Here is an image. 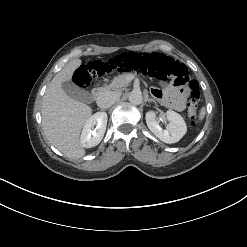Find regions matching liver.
I'll list each match as a JSON object with an SVG mask.
<instances>
[{
	"instance_id": "liver-1",
	"label": "liver",
	"mask_w": 247,
	"mask_h": 247,
	"mask_svg": "<svg viewBox=\"0 0 247 247\" xmlns=\"http://www.w3.org/2000/svg\"><path fill=\"white\" fill-rule=\"evenodd\" d=\"M80 59L68 63L47 87L42 102V125L49 142L65 156L73 159L85 155L80 143V132L92 114L90 106L70 98L62 83L71 80L81 65Z\"/></svg>"
}]
</instances>
